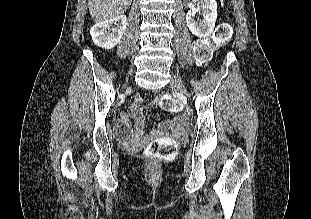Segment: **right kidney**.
I'll use <instances>...</instances> for the list:
<instances>
[{"label":"right kidney","instance_id":"1","mask_svg":"<svg viewBox=\"0 0 311 219\" xmlns=\"http://www.w3.org/2000/svg\"><path fill=\"white\" fill-rule=\"evenodd\" d=\"M113 24L116 25L115 28H112ZM126 26L127 17L120 15L97 23L90 29V34L95 45L112 49L120 42Z\"/></svg>","mask_w":311,"mask_h":219}]
</instances>
